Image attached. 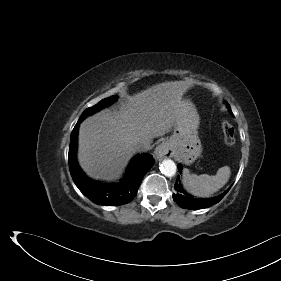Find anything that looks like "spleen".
Masks as SVG:
<instances>
[{"instance_id": "3e777b00", "label": "spleen", "mask_w": 281, "mask_h": 281, "mask_svg": "<svg viewBox=\"0 0 281 281\" xmlns=\"http://www.w3.org/2000/svg\"><path fill=\"white\" fill-rule=\"evenodd\" d=\"M230 175L231 171L228 166L219 168L215 176L191 174L189 169L184 168L182 182L184 188L192 195L210 197L228 182Z\"/></svg>"}]
</instances>
